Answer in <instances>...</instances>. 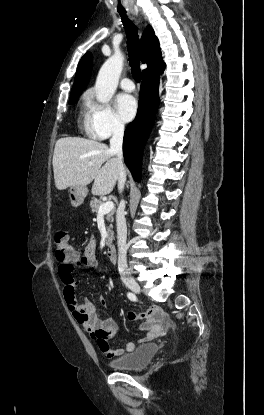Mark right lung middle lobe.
<instances>
[{
	"label": "right lung middle lobe",
	"mask_w": 264,
	"mask_h": 415,
	"mask_svg": "<svg viewBox=\"0 0 264 415\" xmlns=\"http://www.w3.org/2000/svg\"><path fill=\"white\" fill-rule=\"evenodd\" d=\"M78 97L79 95L70 97L69 104H74L77 101Z\"/></svg>",
	"instance_id": "obj_1"
}]
</instances>
